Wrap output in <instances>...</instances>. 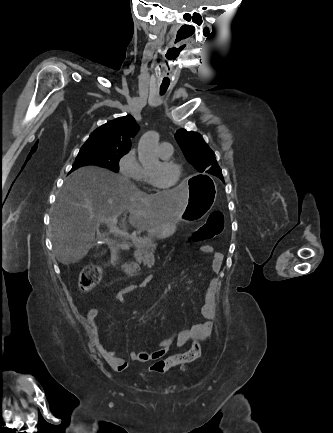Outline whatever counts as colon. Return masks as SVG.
I'll return each mask as SVG.
<instances>
[{
  "mask_svg": "<svg viewBox=\"0 0 333 433\" xmlns=\"http://www.w3.org/2000/svg\"><path fill=\"white\" fill-rule=\"evenodd\" d=\"M224 229V216L219 210L211 212L204 224L192 233L189 238L190 242L203 243L214 239L222 233ZM103 269L99 266H86L79 275L78 285L82 291H89L95 288L101 281ZM202 353L201 345L198 339H195L188 350L167 357L150 366L149 370L157 374H164L171 368L178 365L190 363L197 360Z\"/></svg>",
  "mask_w": 333,
  "mask_h": 433,
  "instance_id": "colon-1",
  "label": "colon"
}]
</instances>
